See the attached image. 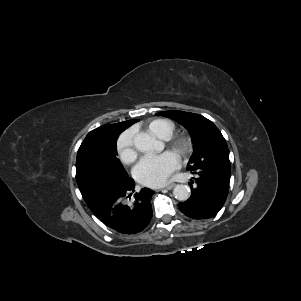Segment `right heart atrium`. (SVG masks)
Masks as SVG:
<instances>
[{
  "label": "right heart atrium",
  "instance_id": "1",
  "mask_svg": "<svg viewBox=\"0 0 301 301\" xmlns=\"http://www.w3.org/2000/svg\"><path fill=\"white\" fill-rule=\"evenodd\" d=\"M116 149L120 160L124 164H132L138 156L134 145V135L131 129L122 132L116 142Z\"/></svg>",
  "mask_w": 301,
  "mask_h": 301
}]
</instances>
